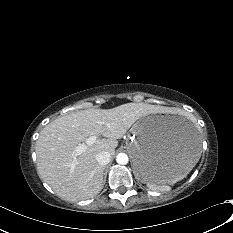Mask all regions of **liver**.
I'll return each instance as SVG.
<instances>
[{"label":"liver","instance_id":"obj_1","mask_svg":"<svg viewBox=\"0 0 233 233\" xmlns=\"http://www.w3.org/2000/svg\"><path fill=\"white\" fill-rule=\"evenodd\" d=\"M167 112L160 106L126 103L112 109H87L62 116L49 123L36 143L37 172L62 199L80 201L96 196L103 185L104 167L96 155H114L118 140L141 118ZM104 122V124H101ZM104 136L86 150L75 148L90 136Z\"/></svg>","mask_w":233,"mask_h":233}]
</instances>
